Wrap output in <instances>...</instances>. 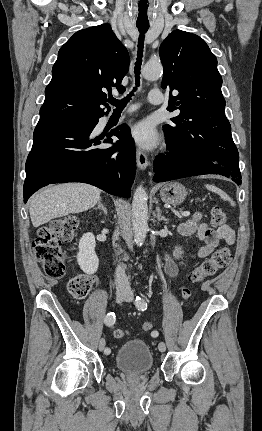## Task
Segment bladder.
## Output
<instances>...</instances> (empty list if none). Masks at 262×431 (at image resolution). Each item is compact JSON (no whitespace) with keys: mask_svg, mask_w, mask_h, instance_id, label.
Listing matches in <instances>:
<instances>
[{"mask_svg":"<svg viewBox=\"0 0 262 431\" xmlns=\"http://www.w3.org/2000/svg\"><path fill=\"white\" fill-rule=\"evenodd\" d=\"M154 358L144 339H131L120 346L115 355V364L131 375L145 374L153 368Z\"/></svg>","mask_w":262,"mask_h":431,"instance_id":"1","label":"bladder"}]
</instances>
